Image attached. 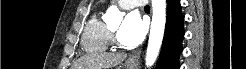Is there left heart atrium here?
I'll list each match as a JSON object with an SVG mask.
<instances>
[{"label":"left heart atrium","mask_w":246,"mask_h":69,"mask_svg":"<svg viewBox=\"0 0 246 69\" xmlns=\"http://www.w3.org/2000/svg\"><path fill=\"white\" fill-rule=\"evenodd\" d=\"M146 26L136 11L128 13L118 32L119 40L126 46H135L144 38Z\"/></svg>","instance_id":"obj_1"}]
</instances>
